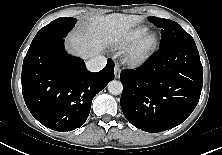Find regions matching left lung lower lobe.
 Masks as SVG:
<instances>
[{
    "instance_id": "1",
    "label": "left lung lower lobe",
    "mask_w": 222,
    "mask_h": 155,
    "mask_svg": "<svg viewBox=\"0 0 222 155\" xmlns=\"http://www.w3.org/2000/svg\"><path fill=\"white\" fill-rule=\"evenodd\" d=\"M124 116L146 132H161L184 122L195 109L203 68L195 43L165 47L136 70L120 74Z\"/></svg>"
}]
</instances>
